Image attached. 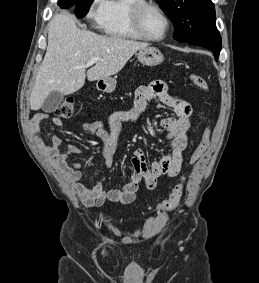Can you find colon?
I'll list each match as a JSON object with an SVG mask.
<instances>
[{
    "label": "colon",
    "mask_w": 259,
    "mask_h": 283,
    "mask_svg": "<svg viewBox=\"0 0 259 283\" xmlns=\"http://www.w3.org/2000/svg\"><path fill=\"white\" fill-rule=\"evenodd\" d=\"M190 78L192 83L196 87L203 90H207L209 88L207 81L202 76L198 74H192ZM74 112H75V101L73 98L64 99L60 103L58 108L55 110V114L62 118H70L71 116H73ZM209 138H210V132L209 130H206L191 156L190 159L191 164L195 163L205 152L209 144ZM183 191H184V184L182 181L173 189L167 200L157 205L156 210L159 212H167L174 210L181 200Z\"/></svg>",
    "instance_id": "obj_1"
}]
</instances>
